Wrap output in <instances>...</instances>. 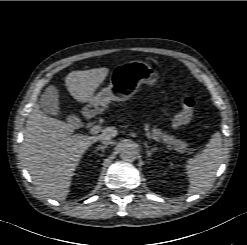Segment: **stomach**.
I'll list each match as a JSON object with an SVG mask.
<instances>
[{
    "label": "stomach",
    "instance_id": "0dacf381",
    "mask_svg": "<svg viewBox=\"0 0 247 245\" xmlns=\"http://www.w3.org/2000/svg\"><path fill=\"white\" fill-rule=\"evenodd\" d=\"M159 79L158 72L143 61H131L114 67L110 84L102 89L96 98V109L103 110L111 101H126L132 97L142 84L153 86Z\"/></svg>",
    "mask_w": 247,
    "mask_h": 245
}]
</instances>
